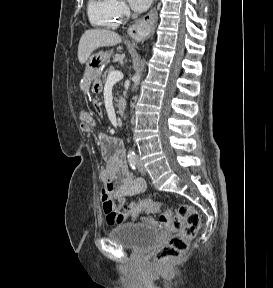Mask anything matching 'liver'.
<instances>
[{"instance_id": "obj_1", "label": "liver", "mask_w": 273, "mask_h": 288, "mask_svg": "<svg viewBox=\"0 0 273 288\" xmlns=\"http://www.w3.org/2000/svg\"><path fill=\"white\" fill-rule=\"evenodd\" d=\"M122 42V38L114 31L105 29H89L82 35L78 45V60L81 64L87 62L90 55L100 47L115 46ZM124 58L123 55L117 56L114 62Z\"/></svg>"}]
</instances>
